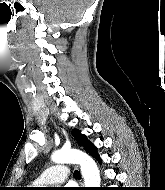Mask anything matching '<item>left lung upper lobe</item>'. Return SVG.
I'll list each match as a JSON object with an SVG mask.
<instances>
[{
    "label": "left lung upper lobe",
    "instance_id": "1",
    "mask_svg": "<svg viewBox=\"0 0 165 190\" xmlns=\"http://www.w3.org/2000/svg\"><path fill=\"white\" fill-rule=\"evenodd\" d=\"M72 135L74 136L75 140L83 146L92 156H95L97 159L99 158L96 147L90 143L85 135H82L78 130H73Z\"/></svg>",
    "mask_w": 165,
    "mask_h": 190
}]
</instances>
